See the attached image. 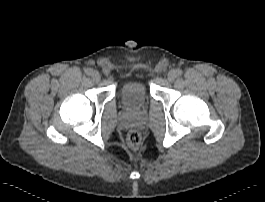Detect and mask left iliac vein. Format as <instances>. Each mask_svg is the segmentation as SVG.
I'll return each mask as SVG.
<instances>
[{
  "label": "left iliac vein",
  "instance_id": "4c4485c4",
  "mask_svg": "<svg viewBox=\"0 0 265 202\" xmlns=\"http://www.w3.org/2000/svg\"><path fill=\"white\" fill-rule=\"evenodd\" d=\"M176 77H177V74L175 70H170L168 72V75H167L168 81L173 82Z\"/></svg>",
  "mask_w": 265,
  "mask_h": 202
}]
</instances>
